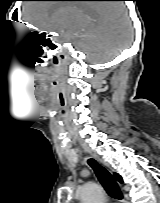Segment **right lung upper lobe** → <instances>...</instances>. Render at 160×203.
Masks as SVG:
<instances>
[{"label":"right lung upper lobe","mask_w":160,"mask_h":203,"mask_svg":"<svg viewBox=\"0 0 160 203\" xmlns=\"http://www.w3.org/2000/svg\"><path fill=\"white\" fill-rule=\"evenodd\" d=\"M115 178H116L120 183L123 182L122 177H121L119 174H116V173H115Z\"/></svg>","instance_id":"cb5924a9"}]
</instances>
